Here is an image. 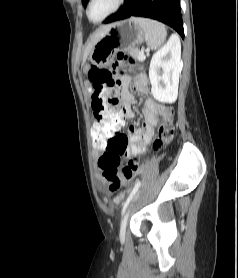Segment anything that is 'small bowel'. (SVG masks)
<instances>
[{"label":"small bowel","instance_id":"c3829d8e","mask_svg":"<svg viewBox=\"0 0 238 278\" xmlns=\"http://www.w3.org/2000/svg\"><path fill=\"white\" fill-rule=\"evenodd\" d=\"M123 68L124 65L122 64V59H115V64L111 65L109 71V76H114L113 84L116 85V89H120L118 97L121 98L122 101L121 126L124 123L123 119H131L134 117V113L131 109V104L134 101V96L130 93L128 89L130 79L127 76H118V72H121V69ZM134 88L137 92L141 94H146L148 91L144 78H140L139 80H137L134 84ZM142 112L144 115V120L142 121L139 128L130 126L126 134L121 133L118 135L112 134L108 136V144L128 145V148L126 149V154H121V156H137L140 153H142L153 136V128L155 124L158 122L159 116L161 114L166 116L165 113L159 111L155 101L151 98H148L145 101Z\"/></svg>","mask_w":238,"mask_h":278}]
</instances>
